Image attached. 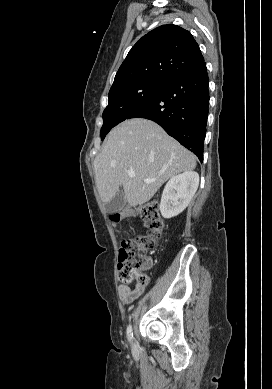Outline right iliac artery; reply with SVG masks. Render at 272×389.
Listing matches in <instances>:
<instances>
[{"instance_id": "obj_1", "label": "right iliac artery", "mask_w": 272, "mask_h": 389, "mask_svg": "<svg viewBox=\"0 0 272 389\" xmlns=\"http://www.w3.org/2000/svg\"><path fill=\"white\" fill-rule=\"evenodd\" d=\"M127 337H128V340L131 342L132 339H133V331H132V326L129 325L127 327Z\"/></svg>"}]
</instances>
